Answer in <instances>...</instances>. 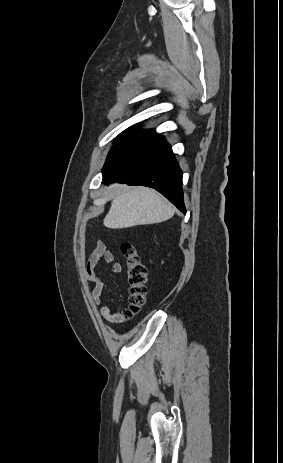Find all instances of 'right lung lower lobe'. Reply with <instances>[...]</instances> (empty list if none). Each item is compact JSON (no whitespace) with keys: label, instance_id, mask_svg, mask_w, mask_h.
Instances as JSON below:
<instances>
[{"label":"right lung lower lobe","instance_id":"right-lung-lower-lobe-1","mask_svg":"<svg viewBox=\"0 0 283 463\" xmlns=\"http://www.w3.org/2000/svg\"><path fill=\"white\" fill-rule=\"evenodd\" d=\"M102 172L103 183L117 181L155 188L186 213L182 171L169 144L154 130L137 131L118 141Z\"/></svg>","mask_w":283,"mask_h":463}]
</instances>
